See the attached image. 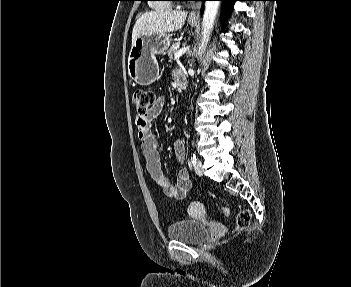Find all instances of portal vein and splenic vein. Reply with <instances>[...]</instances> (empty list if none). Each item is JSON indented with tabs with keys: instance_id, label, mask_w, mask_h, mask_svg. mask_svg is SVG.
<instances>
[{
	"instance_id": "obj_1",
	"label": "portal vein and splenic vein",
	"mask_w": 351,
	"mask_h": 287,
	"mask_svg": "<svg viewBox=\"0 0 351 287\" xmlns=\"http://www.w3.org/2000/svg\"><path fill=\"white\" fill-rule=\"evenodd\" d=\"M188 49H189V47H184V48L180 49L179 51H177L174 55V59L178 60Z\"/></svg>"
}]
</instances>
